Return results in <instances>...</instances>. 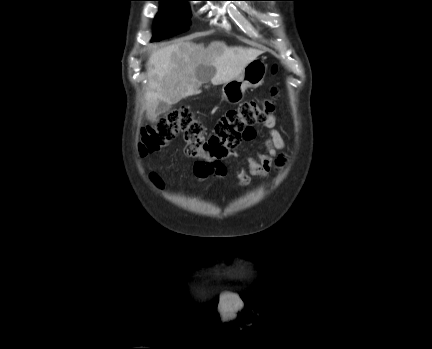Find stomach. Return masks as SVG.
I'll use <instances>...</instances> for the list:
<instances>
[{
    "mask_svg": "<svg viewBox=\"0 0 432 349\" xmlns=\"http://www.w3.org/2000/svg\"><path fill=\"white\" fill-rule=\"evenodd\" d=\"M267 72V65L263 60L254 59L246 65L243 72L236 78L226 82L222 87L223 98L232 104L240 103L247 88L258 87Z\"/></svg>",
    "mask_w": 432,
    "mask_h": 349,
    "instance_id": "1",
    "label": "stomach"
}]
</instances>
